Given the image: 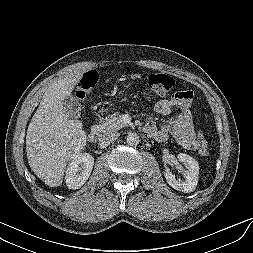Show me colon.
Masks as SVG:
<instances>
[{
    "label": "colon",
    "instance_id": "5ec220e1",
    "mask_svg": "<svg viewBox=\"0 0 253 253\" xmlns=\"http://www.w3.org/2000/svg\"><path fill=\"white\" fill-rule=\"evenodd\" d=\"M97 74L93 71L84 74L80 81L77 91V97L83 101L89 95L91 89L97 81ZM175 85L173 77L163 73H152L148 77V90L156 95H166ZM174 98L178 101L191 103L193 100V93L190 90H181L174 94ZM197 150L200 154L205 155L208 152L206 141L202 137L197 139Z\"/></svg>",
    "mask_w": 253,
    "mask_h": 253
}]
</instances>
